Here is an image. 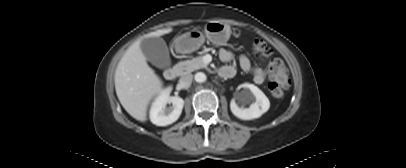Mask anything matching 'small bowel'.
Returning <instances> with one entry per match:
<instances>
[{
  "label": "small bowel",
  "mask_w": 406,
  "mask_h": 168,
  "mask_svg": "<svg viewBox=\"0 0 406 168\" xmlns=\"http://www.w3.org/2000/svg\"><path fill=\"white\" fill-rule=\"evenodd\" d=\"M219 57L223 62H230L234 58L233 50L231 48H222L219 51ZM239 64L243 71L253 75V80L256 84L261 85L264 83V71L261 68L254 66L246 55L242 54L239 56ZM221 70L230 71L231 75L227 78H230L235 74V68L231 65H226Z\"/></svg>",
  "instance_id": "1"
}]
</instances>
